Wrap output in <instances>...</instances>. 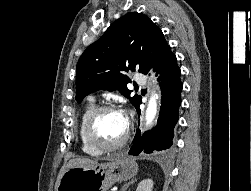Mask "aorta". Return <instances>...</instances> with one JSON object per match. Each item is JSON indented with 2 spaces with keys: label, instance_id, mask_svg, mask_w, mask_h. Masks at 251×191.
Wrapping results in <instances>:
<instances>
[{
  "label": "aorta",
  "instance_id": "1",
  "mask_svg": "<svg viewBox=\"0 0 251 191\" xmlns=\"http://www.w3.org/2000/svg\"><path fill=\"white\" fill-rule=\"evenodd\" d=\"M157 99H159L158 94H153V96H151L148 101L146 115H145L147 125H150V123H152L157 113Z\"/></svg>",
  "mask_w": 251,
  "mask_h": 191
}]
</instances>
